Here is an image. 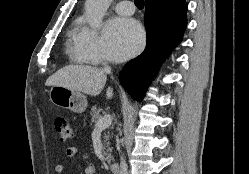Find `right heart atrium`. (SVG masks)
I'll list each match as a JSON object with an SVG mask.
<instances>
[{"label": "right heart atrium", "mask_w": 249, "mask_h": 174, "mask_svg": "<svg viewBox=\"0 0 249 174\" xmlns=\"http://www.w3.org/2000/svg\"><path fill=\"white\" fill-rule=\"evenodd\" d=\"M79 54L89 63H100L103 61L101 40L97 32L89 27H83L77 41Z\"/></svg>", "instance_id": "d8ad5b80"}]
</instances>
